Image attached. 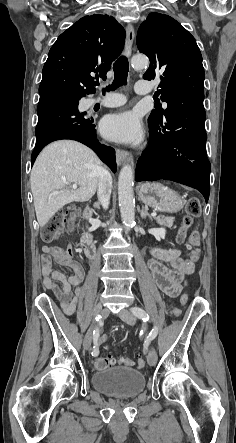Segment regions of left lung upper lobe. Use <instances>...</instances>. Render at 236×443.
<instances>
[{
  "instance_id": "1",
  "label": "left lung upper lobe",
  "mask_w": 236,
  "mask_h": 443,
  "mask_svg": "<svg viewBox=\"0 0 236 443\" xmlns=\"http://www.w3.org/2000/svg\"><path fill=\"white\" fill-rule=\"evenodd\" d=\"M137 47L150 59L143 78L160 75L161 100L167 109L184 101L204 100L205 72L202 55L194 37L168 15L150 13L137 33ZM167 109L156 105L149 120L161 122Z\"/></svg>"
}]
</instances>
